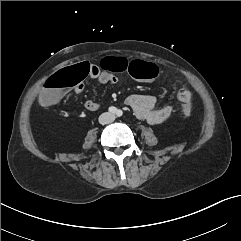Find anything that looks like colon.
Listing matches in <instances>:
<instances>
[{"instance_id": "obj_1", "label": "colon", "mask_w": 241, "mask_h": 241, "mask_svg": "<svg viewBox=\"0 0 241 241\" xmlns=\"http://www.w3.org/2000/svg\"><path fill=\"white\" fill-rule=\"evenodd\" d=\"M102 66L113 72L129 71L138 78H153L157 74V68L152 63L140 64L138 61L129 62L123 57H108L102 61ZM91 72L90 65L85 61L69 65L65 69L54 74L44 85L40 95V102L44 106H49L60 100L64 92L81 83L83 78ZM178 97L182 102V113L190 116L193 108L190 104V93L186 90L178 92Z\"/></svg>"}]
</instances>
